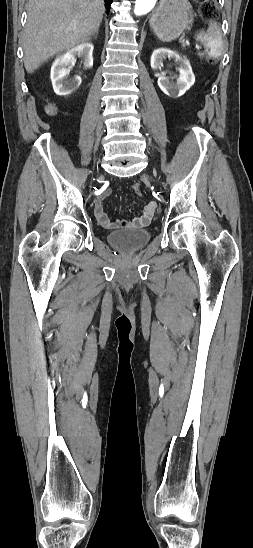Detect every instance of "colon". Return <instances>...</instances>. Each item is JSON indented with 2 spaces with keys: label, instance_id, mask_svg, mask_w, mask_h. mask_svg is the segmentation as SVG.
<instances>
[{
  "label": "colon",
  "instance_id": "obj_1",
  "mask_svg": "<svg viewBox=\"0 0 253 548\" xmlns=\"http://www.w3.org/2000/svg\"><path fill=\"white\" fill-rule=\"evenodd\" d=\"M200 15L205 20H209L216 15V6L214 0H200ZM133 190L136 195H142V190L139 184H134Z\"/></svg>",
  "mask_w": 253,
  "mask_h": 548
}]
</instances>
